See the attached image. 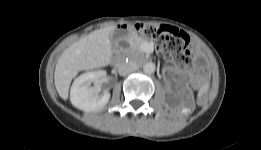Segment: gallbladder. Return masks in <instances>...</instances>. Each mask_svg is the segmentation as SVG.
<instances>
[{
    "label": "gallbladder",
    "mask_w": 261,
    "mask_h": 150,
    "mask_svg": "<svg viewBox=\"0 0 261 150\" xmlns=\"http://www.w3.org/2000/svg\"><path fill=\"white\" fill-rule=\"evenodd\" d=\"M121 32H115L111 35L110 37V41L111 43L114 45L116 43V41L118 40V38L120 37Z\"/></svg>",
    "instance_id": "obj_1"
}]
</instances>
